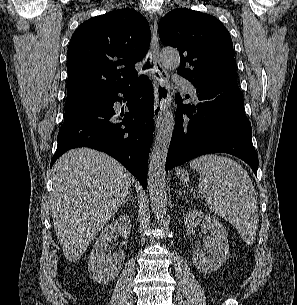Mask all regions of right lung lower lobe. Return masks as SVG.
I'll use <instances>...</instances> for the list:
<instances>
[{
	"mask_svg": "<svg viewBox=\"0 0 297 305\" xmlns=\"http://www.w3.org/2000/svg\"><path fill=\"white\" fill-rule=\"evenodd\" d=\"M127 97L128 112L114 109L116 101ZM153 87L146 76L107 94L106 102L64 121L51 160L67 150L89 147L112 156L147 187V164L153 135Z\"/></svg>",
	"mask_w": 297,
	"mask_h": 305,
	"instance_id": "1",
	"label": "right lung lower lobe"
}]
</instances>
